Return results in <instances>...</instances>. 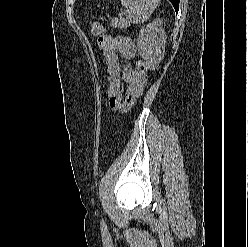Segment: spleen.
I'll list each match as a JSON object with an SVG mask.
<instances>
[{"label": "spleen", "instance_id": "spleen-1", "mask_svg": "<svg viewBox=\"0 0 248 247\" xmlns=\"http://www.w3.org/2000/svg\"><path fill=\"white\" fill-rule=\"evenodd\" d=\"M160 0H121L127 8L126 20L129 23L140 24L151 16Z\"/></svg>", "mask_w": 248, "mask_h": 247}]
</instances>
